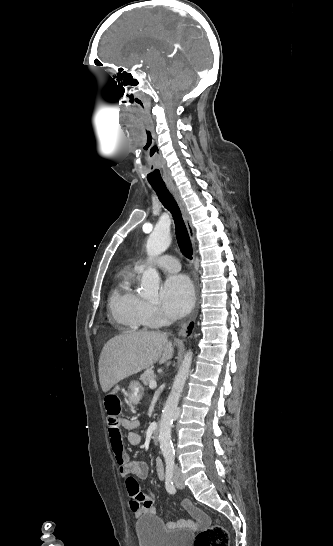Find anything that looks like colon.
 I'll list each match as a JSON object with an SVG mask.
<instances>
[{
  "instance_id": "5ec220e1",
  "label": "colon",
  "mask_w": 333,
  "mask_h": 546,
  "mask_svg": "<svg viewBox=\"0 0 333 546\" xmlns=\"http://www.w3.org/2000/svg\"><path fill=\"white\" fill-rule=\"evenodd\" d=\"M121 400L117 394H109L105 398L106 414L108 418H119L121 414ZM227 530L219 523H214L200 531L195 538L194 546H228Z\"/></svg>"
}]
</instances>
